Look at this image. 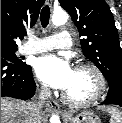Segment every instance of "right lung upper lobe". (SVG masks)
Returning <instances> with one entry per match:
<instances>
[{
	"label": "right lung upper lobe",
	"instance_id": "cb5924a9",
	"mask_svg": "<svg viewBox=\"0 0 122 123\" xmlns=\"http://www.w3.org/2000/svg\"><path fill=\"white\" fill-rule=\"evenodd\" d=\"M45 0H1V49H17L15 39L26 35Z\"/></svg>",
	"mask_w": 122,
	"mask_h": 123
}]
</instances>
